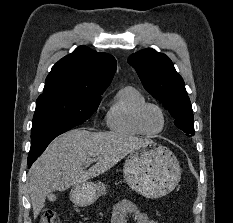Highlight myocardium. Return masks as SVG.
Wrapping results in <instances>:
<instances>
[{"mask_svg":"<svg viewBox=\"0 0 233 223\" xmlns=\"http://www.w3.org/2000/svg\"><path fill=\"white\" fill-rule=\"evenodd\" d=\"M150 107H155L157 108L158 110H160V112L162 113L163 117H164V127L163 129L158 132V133H151L147 130L146 126H145V123H144V115H145V112L148 108ZM135 124L137 126V128L146 136H149V137H156V136H160V135H163L168 126H169V116H168V113L166 111V109L161 106L160 104L158 103H154V102H144L143 104H141L137 111H136V114H135Z\"/></svg>","mask_w":233,"mask_h":223,"instance_id":"f54148a6","label":"myocardium"}]
</instances>
